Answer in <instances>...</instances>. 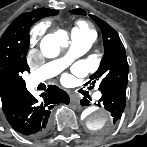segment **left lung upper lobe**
<instances>
[{"label": "left lung upper lobe", "mask_w": 147, "mask_h": 147, "mask_svg": "<svg viewBox=\"0 0 147 147\" xmlns=\"http://www.w3.org/2000/svg\"><path fill=\"white\" fill-rule=\"evenodd\" d=\"M72 12L74 14L86 15V12L82 9H74ZM91 18L101 29L105 49L99 69L91 75L92 84L99 81L100 91L114 85L127 86L129 70L128 62L124 46L118 33L105 21L99 19L98 17L91 15Z\"/></svg>", "instance_id": "1"}]
</instances>
